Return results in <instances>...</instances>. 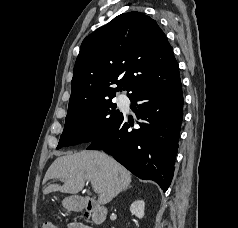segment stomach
I'll use <instances>...</instances> for the list:
<instances>
[{"label": "stomach", "mask_w": 238, "mask_h": 228, "mask_svg": "<svg viewBox=\"0 0 238 228\" xmlns=\"http://www.w3.org/2000/svg\"><path fill=\"white\" fill-rule=\"evenodd\" d=\"M63 206L69 210H78L81 209L82 205L79 202L78 198L71 196L63 200Z\"/></svg>", "instance_id": "0dacf381"}]
</instances>
